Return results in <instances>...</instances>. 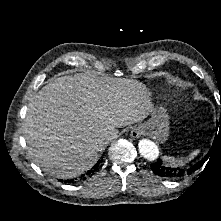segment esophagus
<instances>
[{
    "label": "esophagus",
    "instance_id": "1",
    "mask_svg": "<svg viewBox=\"0 0 221 221\" xmlns=\"http://www.w3.org/2000/svg\"><path fill=\"white\" fill-rule=\"evenodd\" d=\"M144 133V130L140 126H136L131 130V136L133 138H140Z\"/></svg>",
    "mask_w": 221,
    "mask_h": 221
}]
</instances>
